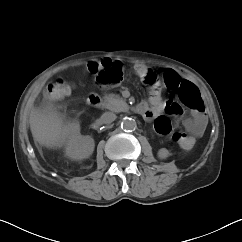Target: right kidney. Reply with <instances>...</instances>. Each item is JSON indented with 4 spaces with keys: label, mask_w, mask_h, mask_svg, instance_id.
I'll list each match as a JSON object with an SVG mask.
<instances>
[{
    "label": "right kidney",
    "mask_w": 242,
    "mask_h": 242,
    "mask_svg": "<svg viewBox=\"0 0 242 242\" xmlns=\"http://www.w3.org/2000/svg\"><path fill=\"white\" fill-rule=\"evenodd\" d=\"M94 139L91 136H82L78 122H72L67 126L65 140V154L73 160L88 158L94 151Z\"/></svg>",
    "instance_id": "1"
}]
</instances>
